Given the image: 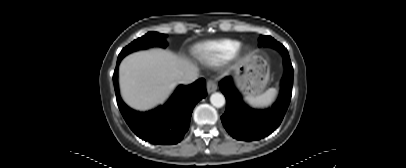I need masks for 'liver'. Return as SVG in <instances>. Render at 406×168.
Here are the masks:
<instances>
[{
  "label": "liver",
  "instance_id": "liver-1",
  "mask_svg": "<svg viewBox=\"0 0 406 168\" xmlns=\"http://www.w3.org/2000/svg\"><path fill=\"white\" fill-rule=\"evenodd\" d=\"M196 66L188 59L163 49L133 53L119 66V84L124 101L140 111L164 103L178 77Z\"/></svg>",
  "mask_w": 406,
  "mask_h": 168
}]
</instances>
